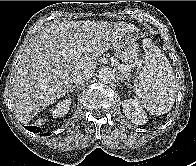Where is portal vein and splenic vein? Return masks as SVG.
Listing matches in <instances>:
<instances>
[{
	"mask_svg": "<svg viewBox=\"0 0 196 166\" xmlns=\"http://www.w3.org/2000/svg\"><path fill=\"white\" fill-rule=\"evenodd\" d=\"M81 51H82V49H79V55H81ZM119 66L123 70H129L131 68L129 65H119Z\"/></svg>",
	"mask_w": 196,
	"mask_h": 166,
	"instance_id": "portal-vein-and-splenic-vein-1",
	"label": "portal vein and splenic vein"
}]
</instances>
